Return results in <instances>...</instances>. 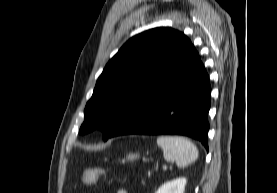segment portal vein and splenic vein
<instances>
[{
  "label": "portal vein and splenic vein",
  "instance_id": "obj_1",
  "mask_svg": "<svg viewBox=\"0 0 277 193\" xmlns=\"http://www.w3.org/2000/svg\"><path fill=\"white\" fill-rule=\"evenodd\" d=\"M163 169H164V170H166V169H167V166H166V165H164V166H163Z\"/></svg>",
  "mask_w": 277,
  "mask_h": 193
}]
</instances>
